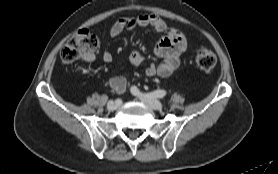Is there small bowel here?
<instances>
[{
  "label": "small bowel",
  "instance_id": "1",
  "mask_svg": "<svg viewBox=\"0 0 278 174\" xmlns=\"http://www.w3.org/2000/svg\"><path fill=\"white\" fill-rule=\"evenodd\" d=\"M136 27H152L155 31L162 34L155 47V55L160 59L158 64H150L145 68L147 76L168 77L180 65V57L187 48V39L182 31L169 26L163 19L154 14H142L136 17H123L115 21L110 29L111 37L120 35L125 30ZM93 59V56L88 58ZM104 62L109 63L113 57L110 52L105 51L102 54ZM144 61L143 54L136 50L129 57V62L133 66H139ZM109 87L116 93H123L129 86L125 77L115 76L108 82Z\"/></svg>",
  "mask_w": 278,
  "mask_h": 174
}]
</instances>
